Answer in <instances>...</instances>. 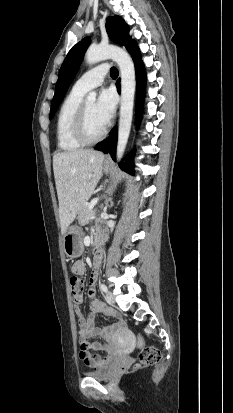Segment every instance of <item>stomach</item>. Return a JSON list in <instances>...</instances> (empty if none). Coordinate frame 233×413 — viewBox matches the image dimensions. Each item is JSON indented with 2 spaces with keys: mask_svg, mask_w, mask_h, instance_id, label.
I'll return each mask as SVG.
<instances>
[{
  "mask_svg": "<svg viewBox=\"0 0 233 413\" xmlns=\"http://www.w3.org/2000/svg\"><path fill=\"white\" fill-rule=\"evenodd\" d=\"M103 168L105 172H109L110 165L105 163ZM82 237L83 231L78 226H71L66 230L63 236V247L68 257L74 258L75 255L83 253Z\"/></svg>",
  "mask_w": 233,
  "mask_h": 413,
  "instance_id": "stomach-1",
  "label": "stomach"
}]
</instances>
